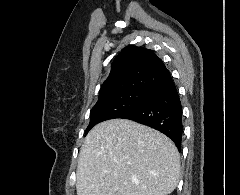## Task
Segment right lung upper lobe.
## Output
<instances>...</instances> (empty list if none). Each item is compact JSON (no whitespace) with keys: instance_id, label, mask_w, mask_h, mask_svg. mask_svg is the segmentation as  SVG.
<instances>
[{"instance_id":"right-lung-upper-lobe-1","label":"right lung upper lobe","mask_w":240,"mask_h":195,"mask_svg":"<svg viewBox=\"0 0 240 195\" xmlns=\"http://www.w3.org/2000/svg\"><path fill=\"white\" fill-rule=\"evenodd\" d=\"M169 78V70L152 50L130 45L115 57L99 98L124 91L148 92Z\"/></svg>"}]
</instances>
